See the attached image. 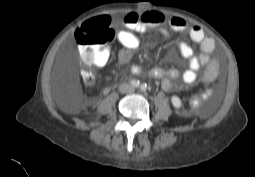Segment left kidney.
<instances>
[{"label": "left kidney", "instance_id": "5707ae66", "mask_svg": "<svg viewBox=\"0 0 255 177\" xmlns=\"http://www.w3.org/2000/svg\"><path fill=\"white\" fill-rule=\"evenodd\" d=\"M171 102H172V105H173L175 108H180L181 105H182V102H181L180 98L177 97V96H172V97H171Z\"/></svg>", "mask_w": 255, "mask_h": 177}]
</instances>
